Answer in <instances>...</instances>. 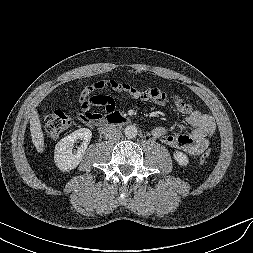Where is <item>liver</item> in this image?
I'll return each mask as SVG.
<instances>
[{
  "label": "liver",
  "mask_w": 253,
  "mask_h": 253,
  "mask_svg": "<svg viewBox=\"0 0 253 253\" xmlns=\"http://www.w3.org/2000/svg\"><path fill=\"white\" fill-rule=\"evenodd\" d=\"M30 132L33 145L38 152L42 153L44 151V134L37 111H34L30 118Z\"/></svg>",
  "instance_id": "obj_1"
}]
</instances>
